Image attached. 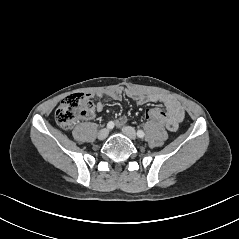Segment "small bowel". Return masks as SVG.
Here are the masks:
<instances>
[{"mask_svg": "<svg viewBox=\"0 0 239 239\" xmlns=\"http://www.w3.org/2000/svg\"><path fill=\"white\" fill-rule=\"evenodd\" d=\"M126 95L138 104H145L148 102L163 104L167 111L163 123L169 131L175 132L184 119L185 112L182 105L178 100L169 95L160 93H143L137 90H128ZM103 96V94H99V97L102 98ZM107 96L118 101L122 99L123 94L120 90L116 89L109 91ZM95 109L98 112L103 111L104 104L101 101H98L95 105ZM88 118H92V115H89ZM125 122L126 119L121 117L116 120V125L121 127L125 124Z\"/></svg>", "mask_w": 239, "mask_h": 239, "instance_id": "small-bowel-1", "label": "small bowel"}]
</instances>
